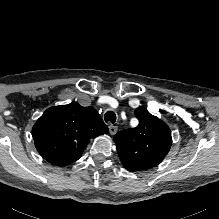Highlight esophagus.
<instances>
[{
    "label": "esophagus",
    "mask_w": 219,
    "mask_h": 219,
    "mask_svg": "<svg viewBox=\"0 0 219 219\" xmlns=\"http://www.w3.org/2000/svg\"><path fill=\"white\" fill-rule=\"evenodd\" d=\"M118 131V127L113 125V124H110L109 125V132L111 135H115Z\"/></svg>",
    "instance_id": "obj_1"
}]
</instances>
